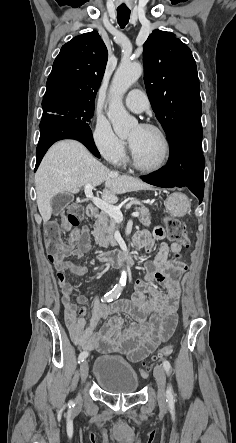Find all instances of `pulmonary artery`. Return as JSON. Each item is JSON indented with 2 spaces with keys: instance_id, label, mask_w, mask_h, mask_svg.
Segmentation results:
<instances>
[{
  "instance_id": "obj_1",
  "label": "pulmonary artery",
  "mask_w": 236,
  "mask_h": 443,
  "mask_svg": "<svg viewBox=\"0 0 236 443\" xmlns=\"http://www.w3.org/2000/svg\"><path fill=\"white\" fill-rule=\"evenodd\" d=\"M126 106L137 113L143 112L149 107L147 96L139 89L129 91L125 98Z\"/></svg>"
}]
</instances>
